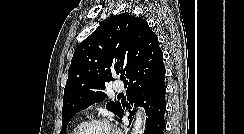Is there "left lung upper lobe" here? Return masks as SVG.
I'll return each instance as SVG.
<instances>
[{"label": "left lung upper lobe", "instance_id": "obj_1", "mask_svg": "<svg viewBox=\"0 0 244 134\" xmlns=\"http://www.w3.org/2000/svg\"><path fill=\"white\" fill-rule=\"evenodd\" d=\"M112 73L121 75L127 91L164 81L157 35L142 17L114 15L76 48L64 90L62 134L77 112L105 99L103 90ZM106 108L116 115L122 110L119 102H109Z\"/></svg>", "mask_w": 244, "mask_h": 134}]
</instances>
